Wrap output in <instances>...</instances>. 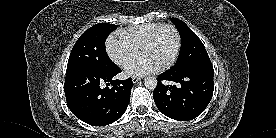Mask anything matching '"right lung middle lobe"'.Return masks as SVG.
Returning <instances> with one entry per match:
<instances>
[{
    "label": "right lung middle lobe",
    "mask_w": 276,
    "mask_h": 138,
    "mask_svg": "<svg viewBox=\"0 0 276 138\" xmlns=\"http://www.w3.org/2000/svg\"><path fill=\"white\" fill-rule=\"evenodd\" d=\"M115 29L116 25L99 23L86 30L71 51L66 74L82 69H111L115 64L106 53L105 40Z\"/></svg>",
    "instance_id": "dd1d6c3e"
}]
</instances>
